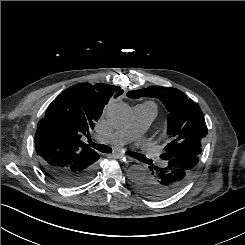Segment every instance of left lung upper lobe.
<instances>
[{
    "label": "left lung upper lobe",
    "mask_w": 245,
    "mask_h": 245,
    "mask_svg": "<svg viewBox=\"0 0 245 245\" xmlns=\"http://www.w3.org/2000/svg\"><path fill=\"white\" fill-rule=\"evenodd\" d=\"M129 98L143 96L157 98L169 111L168 131L170 142L165 146L160 158L164 161L181 154L199 156L201 141L207 135V126L200 107L182 91L172 87L150 86L129 91Z\"/></svg>",
    "instance_id": "1"
}]
</instances>
